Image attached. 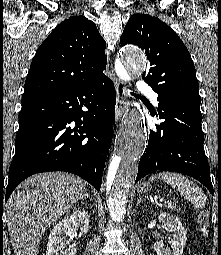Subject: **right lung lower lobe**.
<instances>
[{
  "mask_svg": "<svg viewBox=\"0 0 221 255\" xmlns=\"http://www.w3.org/2000/svg\"><path fill=\"white\" fill-rule=\"evenodd\" d=\"M115 100L114 85L105 75L73 89L23 100L5 201L24 179L48 171L74 173L100 191Z\"/></svg>",
  "mask_w": 221,
  "mask_h": 255,
  "instance_id": "98d812e1",
  "label": "right lung lower lobe"
}]
</instances>
